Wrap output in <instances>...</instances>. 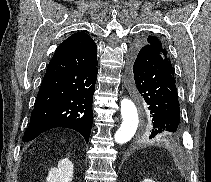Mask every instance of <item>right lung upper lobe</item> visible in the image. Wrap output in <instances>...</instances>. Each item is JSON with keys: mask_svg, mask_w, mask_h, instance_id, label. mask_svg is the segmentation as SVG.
<instances>
[{"mask_svg": "<svg viewBox=\"0 0 211 182\" xmlns=\"http://www.w3.org/2000/svg\"><path fill=\"white\" fill-rule=\"evenodd\" d=\"M84 34H85L84 32H78V33L71 35L68 39L77 38V37L82 36Z\"/></svg>", "mask_w": 211, "mask_h": 182, "instance_id": "obj_1", "label": "right lung upper lobe"}]
</instances>
